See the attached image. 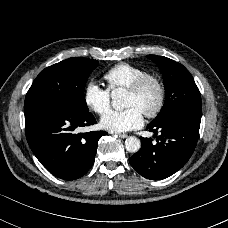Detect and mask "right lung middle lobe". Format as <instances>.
Segmentation results:
<instances>
[{"instance_id":"dd1d6c3e","label":"right lung middle lobe","mask_w":228,"mask_h":228,"mask_svg":"<svg viewBox=\"0 0 228 228\" xmlns=\"http://www.w3.org/2000/svg\"><path fill=\"white\" fill-rule=\"evenodd\" d=\"M98 61L69 58L44 69L34 80L25 97V104L54 101L88 112L84 87Z\"/></svg>"}]
</instances>
